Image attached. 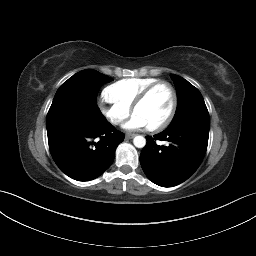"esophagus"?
<instances>
[{"label":"esophagus","instance_id":"obj_1","mask_svg":"<svg viewBox=\"0 0 256 256\" xmlns=\"http://www.w3.org/2000/svg\"><path fill=\"white\" fill-rule=\"evenodd\" d=\"M136 135L135 134H126L125 138L126 139H132L134 138Z\"/></svg>","mask_w":256,"mask_h":256}]
</instances>
